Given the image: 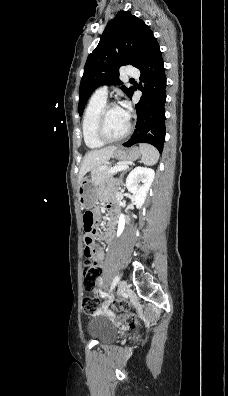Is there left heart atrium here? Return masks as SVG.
Returning <instances> with one entry per match:
<instances>
[{
    "label": "left heart atrium",
    "instance_id": "1",
    "mask_svg": "<svg viewBox=\"0 0 228 396\" xmlns=\"http://www.w3.org/2000/svg\"><path fill=\"white\" fill-rule=\"evenodd\" d=\"M120 109L122 110L124 116L126 117V119H129L130 116V108L129 105L127 103H123L122 106L120 107Z\"/></svg>",
    "mask_w": 228,
    "mask_h": 396
}]
</instances>
